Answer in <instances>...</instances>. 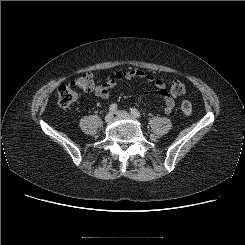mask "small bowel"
Segmentation results:
<instances>
[{
    "label": "small bowel",
    "mask_w": 245,
    "mask_h": 245,
    "mask_svg": "<svg viewBox=\"0 0 245 245\" xmlns=\"http://www.w3.org/2000/svg\"><path fill=\"white\" fill-rule=\"evenodd\" d=\"M139 79L148 84L154 85V94L160 97L164 101L165 113H171L175 106L174 98L167 90L166 84L159 79H156L152 74L146 73L140 69H131L126 71L116 72L112 77L104 80L96 89L95 95L97 97L106 99L109 97L110 90L116 86V84L122 80ZM147 92L141 94L140 98L147 95Z\"/></svg>",
    "instance_id": "obj_1"
}]
</instances>
